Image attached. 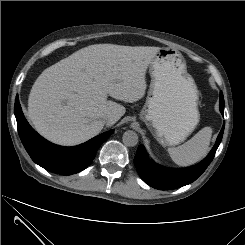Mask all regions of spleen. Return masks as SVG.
<instances>
[{"label": "spleen", "mask_w": 245, "mask_h": 245, "mask_svg": "<svg viewBox=\"0 0 245 245\" xmlns=\"http://www.w3.org/2000/svg\"><path fill=\"white\" fill-rule=\"evenodd\" d=\"M212 128L204 127L181 146L169 148L171 159L179 166H190L203 159L208 151Z\"/></svg>", "instance_id": "3e777b00"}]
</instances>
